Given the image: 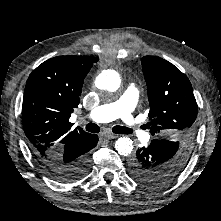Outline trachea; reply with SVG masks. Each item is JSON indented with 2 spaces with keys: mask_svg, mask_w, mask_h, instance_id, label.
<instances>
[{
  "mask_svg": "<svg viewBox=\"0 0 221 221\" xmlns=\"http://www.w3.org/2000/svg\"><path fill=\"white\" fill-rule=\"evenodd\" d=\"M86 130L91 133H98L100 131V127L97 124L88 123L86 125ZM112 131L116 134H131V131L128 128L119 125L114 126Z\"/></svg>",
  "mask_w": 221,
  "mask_h": 221,
  "instance_id": "1",
  "label": "trachea"
}]
</instances>
